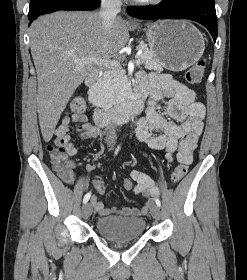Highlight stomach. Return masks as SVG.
<instances>
[{
  "instance_id": "obj_1",
  "label": "stomach",
  "mask_w": 247,
  "mask_h": 280,
  "mask_svg": "<svg viewBox=\"0 0 247 280\" xmlns=\"http://www.w3.org/2000/svg\"><path fill=\"white\" fill-rule=\"evenodd\" d=\"M143 30L154 58L168 70L183 71L203 55V35L188 21H158Z\"/></svg>"
}]
</instances>
